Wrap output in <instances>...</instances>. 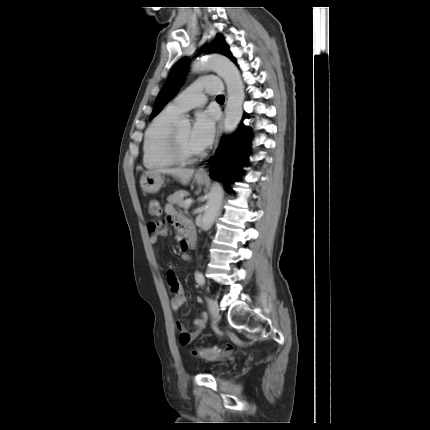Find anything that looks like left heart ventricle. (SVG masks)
<instances>
[{
    "mask_svg": "<svg viewBox=\"0 0 430 430\" xmlns=\"http://www.w3.org/2000/svg\"><path fill=\"white\" fill-rule=\"evenodd\" d=\"M178 136L183 150L187 154H196L198 151L191 144V128L187 126L178 127Z\"/></svg>",
    "mask_w": 430,
    "mask_h": 430,
    "instance_id": "left-heart-ventricle-1",
    "label": "left heart ventricle"
}]
</instances>
